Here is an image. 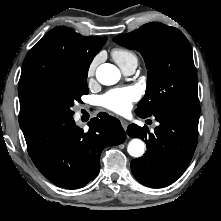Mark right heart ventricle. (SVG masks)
I'll return each mask as SVG.
<instances>
[{"instance_id":"1","label":"right heart ventricle","mask_w":221,"mask_h":221,"mask_svg":"<svg viewBox=\"0 0 221 221\" xmlns=\"http://www.w3.org/2000/svg\"><path fill=\"white\" fill-rule=\"evenodd\" d=\"M112 58L121 67L129 62H137L136 54L125 48H115L112 50Z\"/></svg>"}]
</instances>
